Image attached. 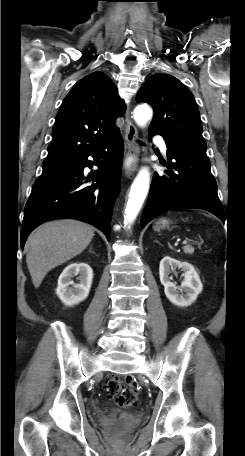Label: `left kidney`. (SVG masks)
<instances>
[{
	"label": "left kidney",
	"instance_id": "5707ae66",
	"mask_svg": "<svg viewBox=\"0 0 245 456\" xmlns=\"http://www.w3.org/2000/svg\"><path fill=\"white\" fill-rule=\"evenodd\" d=\"M180 268L184 272V280L180 287L170 281L171 270ZM159 276L167 299L181 307L191 305L201 293L203 285L194 267L187 263L165 256L159 265ZM184 292V294H183Z\"/></svg>",
	"mask_w": 245,
	"mask_h": 456
}]
</instances>
